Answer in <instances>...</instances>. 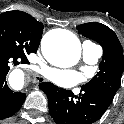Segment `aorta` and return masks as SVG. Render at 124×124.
Returning <instances> with one entry per match:
<instances>
[{
  "label": "aorta",
  "instance_id": "1",
  "mask_svg": "<svg viewBox=\"0 0 124 124\" xmlns=\"http://www.w3.org/2000/svg\"><path fill=\"white\" fill-rule=\"evenodd\" d=\"M43 56L48 62L58 67H70L75 65L81 55V44L79 39L70 31L54 29L47 32L41 41ZM16 72L13 71L11 75Z\"/></svg>",
  "mask_w": 124,
  "mask_h": 124
}]
</instances>
